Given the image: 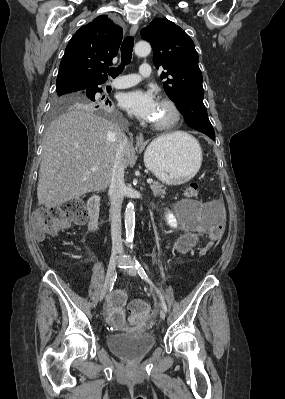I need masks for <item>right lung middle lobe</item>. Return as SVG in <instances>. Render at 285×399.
<instances>
[{
    "label": "right lung middle lobe",
    "instance_id": "dd1d6c3e",
    "mask_svg": "<svg viewBox=\"0 0 285 399\" xmlns=\"http://www.w3.org/2000/svg\"><path fill=\"white\" fill-rule=\"evenodd\" d=\"M57 94L53 102L51 120L58 114L73 108H104L96 93H88L82 89H56Z\"/></svg>",
    "mask_w": 285,
    "mask_h": 399
}]
</instances>
